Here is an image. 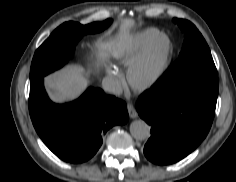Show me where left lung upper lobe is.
Instances as JSON below:
<instances>
[{
    "instance_id": "1",
    "label": "left lung upper lobe",
    "mask_w": 236,
    "mask_h": 182,
    "mask_svg": "<svg viewBox=\"0 0 236 182\" xmlns=\"http://www.w3.org/2000/svg\"><path fill=\"white\" fill-rule=\"evenodd\" d=\"M174 22L185 34L182 51L152 88L159 85L165 92L189 89L218 94L217 69L205 39L190 21L175 18Z\"/></svg>"
}]
</instances>
